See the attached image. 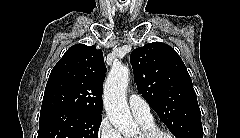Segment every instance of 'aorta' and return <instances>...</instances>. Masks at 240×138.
I'll return each instance as SVG.
<instances>
[{
	"instance_id": "762f6f07",
	"label": "aorta",
	"mask_w": 240,
	"mask_h": 138,
	"mask_svg": "<svg viewBox=\"0 0 240 138\" xmlns=\"http://www.w3.org/2000/svg\"><path fill=\"white\" fill-rule=\"evenodd\" d=\"M128 84V67L114 64L105 82L103 103L110 122L125 138H131L137 132L125 96Z\"/></svg>"
}]
</instances>
